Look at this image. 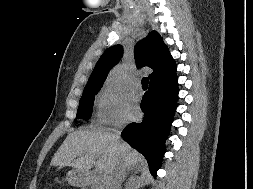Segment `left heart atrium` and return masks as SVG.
I'll return each mask as SVG.
<instances>
[{
  "mask_svg": "<svg viewBox=\"0 0 253 189\" xmlns=\"http://www.w3.org/2000/svg\"><path fill=\"white\" fill-rule=\"evenodd\" d=\"M125 114L129 118H137L140 114V109L135 100H130L125 108Z\"/></svg>",
  "mask_w": 253,
  "mask_h": 189,
  "instance_id": "39dd6f15",
  "label": "left heart atrium"
}]
</instances>
